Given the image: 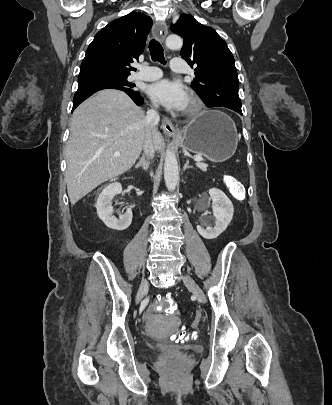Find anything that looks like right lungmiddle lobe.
Masks as SVG:
<instances>
[{"label": "right lung middle lobe", "instance_id": "1", "mask_svg": "<svg viewBox=\"0 0 332 405\" xmlns=\"http://www.w3.org/2000/svg\"><path fill=\"white\" fill-rule=\"evenodd\" d=\"M128 76L129 75L116 73H94L81 75L78 78V90L93 86L104 85L122 88L127 91H136L133 89L135 87V84L128 82Z\"/></svg>", "mask_w": 332, "mask_h": 405}]
</instances>
